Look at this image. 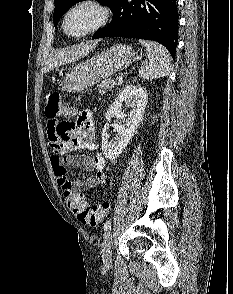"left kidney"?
I'll return each mask as SVG.
<instances>
[{
    "mask_svg": "<svg viewBox=\"0 0 233 294\" xmlns=\"http://www.w3.org/2000/svg\"><path fill=\"white\" fill-rule=\"evenodd\" d=\"M147 102V92L140 86L127 85L119 92L106 112V120L109 122L114 116L119 119L127 116V119L123 125L120 123L113 125L119 134V138L116 141L108 140V123L102 129V152L107 159H116L127 147L143 118ZM123 103L131 108L128 115L122 111Z\"/></svg>",
    "mask_w": 233,
    "mask_h": 294,
    "instance_id": "left-kidney-1",
    "label": "left kidney"
}]
</instances>
